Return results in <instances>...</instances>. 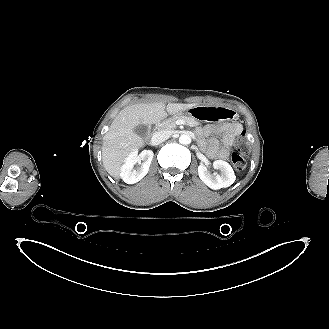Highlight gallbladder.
<instances>
[{
	"mask_svg": "<svg viewBox=\"0 0 329 329\" xmlns=\"http://www.w3.org/2000/svg\"><path fill=\"white\" fill-rule=\"evenodd\" d=\"M147 130H148V127L144 124H140L134 128V132L142 138H144L146 136Z\"/></svg>",
	"mask_w": 329,
	"mask_h": 329,
	"instance_id": "bac80fb5",
	"label": "gallbladder"
}]
</instances>
